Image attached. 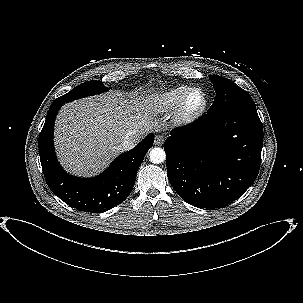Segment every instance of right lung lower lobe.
Listing matches in <instances>:
<instances>
[{
  "label": "right lung lower lobe",
  "mask_w": 303,
  "mask_h": 303,
  "mask_svg": "<svg viewBox=\"0 0 303 303\" xmlns=\"http://www.w3.org/2000/svg\"><path fill=\"white\" fill-rule=\"evenodd\" d=\"M63 104L58 100L52 103L39 134V155L48 187L80 211L97 213L119 205L134 187L137 170L154 143V134L147 135L132 150L118 156L99 176L89 179L71 176L58 163L53 145L55 117Z\"/></svg>",
  "instance_id": "98d812e1"
}]
</instances>
